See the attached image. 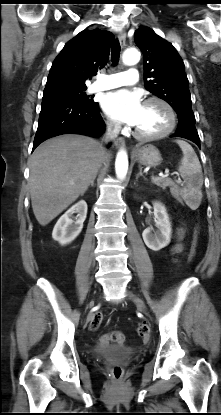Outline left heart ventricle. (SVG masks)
<instances>
[{
  "label": "left heart ventricle",
  "instance_id": "b2bd125f",
  "mask_svg": "<svg viewBox=\"0 0 221 415\" xmlns=\"http://www.w3.org/2000/svg\"><path fill=\"white\" fill-rule=\"evenodd\" d=\"M169 123L166 109L159 103L144 104L140 119L135 128L145 134L163 131Z\"/></svg>",
  "mask_w": 221,
  "mask_h": 415
}]
</instances>
